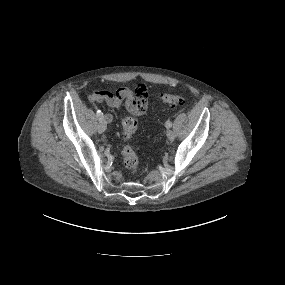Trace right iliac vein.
Here are the masks:
<instances>
[{
  "label": "right iliac vein",
  "mask_w": 285,
  "mask_h": 285,
  "mask_svg": "<svg viewBox=\"0 0 285 285\" xmlns=\"http://www.w3.org/2000/svg\"><path fill=\"white\" fill-rule=\"evenodd\" d=\"M97 130L99 133H103L106 130V124L103 120H99Z\"/></svg>",
  "instance_id": "obj_1"
}]
</instances>
